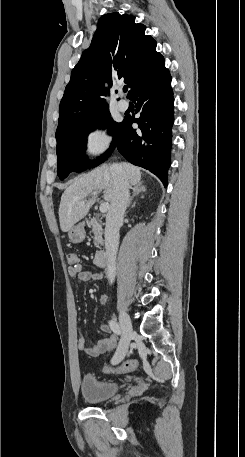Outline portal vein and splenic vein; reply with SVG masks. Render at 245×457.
Here are the masks:
<instances>
[{
    "mask_svg": "<svg viewBox=\"0 0 245 457\" xmlns=\"http://www.w3.org/2000/svg\"><path fill=\"white\" fill-rule=\"evenodd\" d=\"M91 194H97V192H91ZM82 204H84V202H82ZM109 206V202H102V204L99 206L100 212H107Z\"/></svg>",
    "mask_w": 245,
    "mask_h": 457,
    "instance_id": "1",
    "label": "portal vein and splenic vein"
}]
</instances>
